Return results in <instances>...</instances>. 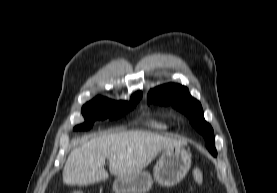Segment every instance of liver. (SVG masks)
<instances>
[{
    "label": "liver",
    "instance_id": "1",
    "mask_svg": "<svg viewBox=\"0 0 277 193\" xmlns=\"http://www.w3.org/2000/svg\"><path fill=\"white\" fill-rule=\"evenodd\" d=\"M186 144V140L146 131L104 132L70 152L63 182L84 186L108 179L106 159L112 175L126 177L148 166L162 150Z\"/></svg>",
    "mask_w": 277,
    "mask_h": 193
}]
</instances>
